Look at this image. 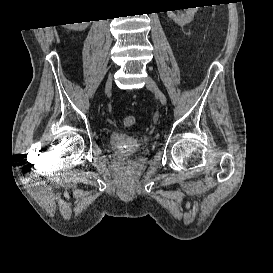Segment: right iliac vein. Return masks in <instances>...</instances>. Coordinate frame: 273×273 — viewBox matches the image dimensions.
Here are the masks:
<instances>
[{"label": "right iliac vein", "mask_w": 273, "mask_h": 273, "mask_svg": "<svg viewBox=\"0 0 273 273\" xmlns=\"http://www.w3.org/2000/svg\"><path fill=\"white\" fill-rule=\"evenodd\" d=\"M112 81H113V78H112V75H110L105 84V92L109 91L112 88Z\"/></svg>", "instance_id": "63e3f726"}]
</instances>
